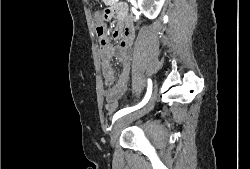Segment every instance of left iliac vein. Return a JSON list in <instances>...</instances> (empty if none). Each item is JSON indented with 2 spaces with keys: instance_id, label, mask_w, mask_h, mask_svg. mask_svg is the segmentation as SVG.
<instances>
[{
  "instance_id": "4c4485c4",
  "label": "left iliac vein",
  "mask_w": 250,
  "mask_h": 169,
  "mask_svg": "<svg viewBox=\"0 0 250 169\" xmlns=\"http://www.w3.org/2000/svg\"><path fill=\"white\" fill-rule=\"evenodd\" d=\"M157 90H158V88L156 86L154 95L157 94ZM148 109H149V107L146 110H148ZM132 119H134V116H124V117H121V118L116 120V122L114 123V126L112 128V131L110 133V142H111L112 147L115 145V142L118 139V137L120 135V131L123 128V126L125 125V123L132 120Z\"/></svg>"
}]
</instances>
